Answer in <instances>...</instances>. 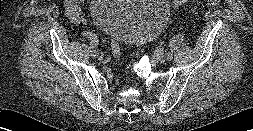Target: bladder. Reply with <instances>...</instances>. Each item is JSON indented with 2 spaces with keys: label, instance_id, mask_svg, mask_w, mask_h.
<instances>
[{
  "label": "bladder",
  "instance_id": "1",
  "mask_svg": "<svg viewBox=\"0 0 253 131\" xmlns=\"http://www.w3.org/2000/svg\"><path fill=\"white\" fill-rule=\"evenodd\" d=\"M97 26L119 45H134L161 33L169 17L165 0H93Z\"/></svg>",
  "mask_w": 253,
  "mask_h": 131
}]
</instances>
